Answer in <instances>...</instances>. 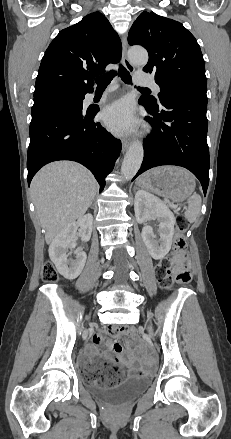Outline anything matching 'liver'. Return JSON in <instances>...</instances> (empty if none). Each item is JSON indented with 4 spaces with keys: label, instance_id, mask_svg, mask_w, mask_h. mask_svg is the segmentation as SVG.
<instances>
[{
    "label": "liver",
    "instance_id": "obj_1",
    "mask_svg": "<svg viewBox=\"0 0 231 439\" xmlns=\"http://www.w3.org/2000/svg\"><path fill=\"white\" fill-rule=\"evenodd\" d=\"M30 189L45 241L50 244L61 230L86 213L95 198L97 182L84 166L57 161L34 176Z\"/></svg>",
    "mask_w": 231,
    "mask_h": 439
}]
</instances>
